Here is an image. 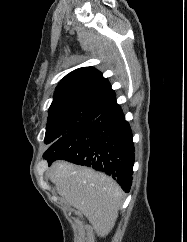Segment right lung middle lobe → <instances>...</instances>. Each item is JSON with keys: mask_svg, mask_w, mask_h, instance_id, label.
<instances>
[{"mask_svg": "<svg viewBox=\"0 0 187 242\" xmlns=\"http://www.w3.org/2000/svg\"><path fill=\"white\" fill-rule=\"evenodd\" d=\"M104 108L90 105H67L49 110L45 143L52 144L68 132L96 119Z\"/></svg>", "mask_w": 187, "mask_h": 242, "instance_id": "obj_1", "label": "right lung middle lobe"}]
</instances>
